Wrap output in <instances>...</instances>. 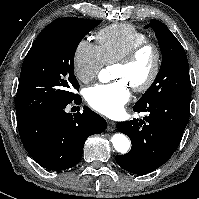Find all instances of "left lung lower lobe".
<instances>
[{
	"label": "left lung lower lobe",
	"instance_id": "0a47b994",
	"mask_svg": "<svg viewBox=\"0 0 199 199\" xmlns=\"http://www.w3.org/2000/svg\"><path fill=\"white\" fill-rule=\"evenodd\" d=\"M135 112H149L144 120L118 122L119 132L126 134L132 143L131 150L116 155L117 164L124 170L142 175L166 163L176 151L190 115V100L169 99Z\"/></svg>",
	"mask_w": 199,
	"mask_h": 199
}]
</instances>
